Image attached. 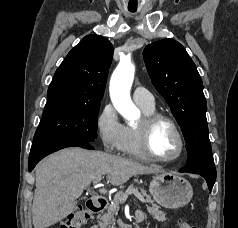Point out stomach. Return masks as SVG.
Here are the masks:
<instances>
[{"label":"stomach","mask_w":238,"mask_h":228,"mask_svg":"<svg viewBox=\"0 0 238 228\" xmlns=\"http://www.w3.org/2000/svg\"><path fill=\"white\" fill-rule=\"evenodd\" d=\"M153 199L167 209L181 208L188 204L193 196L191 184L174 173L156 174L149 186Z\"/></svg>","instance_id":"1"}]
</instances>
